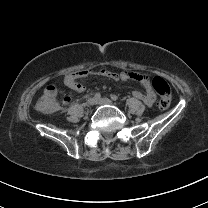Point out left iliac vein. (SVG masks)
<instances>
[{
	"label": "left iliac vein",
	"mask_w": 208,
	"mask_h": 208,
	"mask_svg": "<svg viewBox=\"0 0 208 208\" xmlns=\"http://www.w3.org/2000/svg\"><path fill=\"white\" fill-rule=\"evenodd\" d=\"M96 103L99 105H114L113 101L108 98H101L97 100Z\"/></svg>",
	"instance_id": "1"
}]
</instances>
